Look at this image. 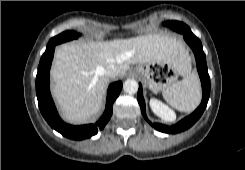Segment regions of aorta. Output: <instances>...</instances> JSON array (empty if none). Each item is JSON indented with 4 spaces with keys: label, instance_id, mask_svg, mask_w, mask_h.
I'll list each match as a JSON object with an SVG mask.
<instances>
[{
    "label": "aorta",
    "instance_id": "762f6f07",
    "mask_svg": "<svg viewBox=\"0 0 245 170\" xmlns=\"http://www.w3.org/2000/svg\"><path fill=\"white\" fill-rule=\"evenodd\" d=\"M138 88H139L138 82L134 79H127L123 83V90L128 94L137 93Z\"/></svg>",
    "mask_w": 245,
    "mask_h": 170
}]
</instances>
